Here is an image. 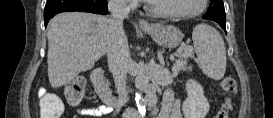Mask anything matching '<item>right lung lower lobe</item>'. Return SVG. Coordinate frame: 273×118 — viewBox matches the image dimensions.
<instances>
[{
  "label": "right lung lower lobe",
  "mask_w": 273,
  "mask_h": 118,
  "mask_svg": "<svg viewBox=\"0 0 273 118\" xmlns=\"http://www.w3.org/2000/svg\"><path fill=\"white\" fill-rule=\"evenodd\" d=\"M67 11L106 15L108 14L107 0H47L44 10L45 27L54 15Z\"/></svg>",
  "instance_id": "obj_1"
}]
</instances>
